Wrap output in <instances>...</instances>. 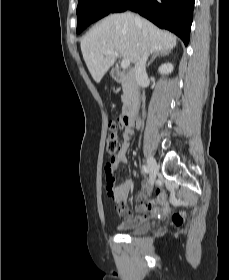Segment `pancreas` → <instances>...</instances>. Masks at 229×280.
<instances>
[{
	"mask_svg": "<svg viewBox=\"0 0 229 280\" xmlns=\"http://www.w3.org/2000/svg\"><path fill=\"white\" fill-rule=\"evenodd\" d=\"M122 88H123L122 101L126 102L132 95V87L128 82H123Z\"/></svg>",
	"mask_w": 229,
	"mask_h": 280,
	"instance_id": "pancreas-1",
	"label": "pancreas"
}]
</instances>
